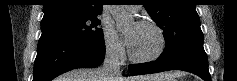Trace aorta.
<instances>
[{"instance_id": "1", "label": "aorta", "mask_w": 237, "mask_h": 81, "mask_svg": "<svg viewBox=\"0 0 237 81\" xmlns=\"http://www.w3.org/2000/svg\"><path fill=\"white\" fill-rule=\"evenodd\" d=\"M111 15L116 22L117 29L120 31L127 29L134 22L133 17L120 5H113Z\"/></svg>"}]
</instances>
